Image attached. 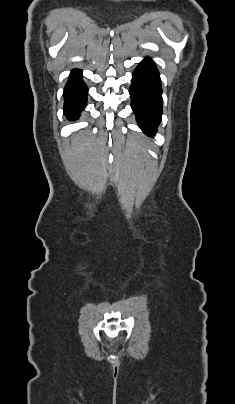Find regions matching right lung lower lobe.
Returning <instances> with one entry per match:
<instances>
[{"label":"right lung lower lobe","instance_id":"1","mask_svg":"<svg viewBox=\"0 0 235 404\" xmlns=\"http://www.w3.org/2000/svg\"><path fill=\"white\" fill-rule=\"evenodd\" d=\"M81 76L80 70H73L64 89V114L70 120L77 119L86 106L87 87Z\"/></svg>","mask_w":235,"mask_h":404}]
</instances>
